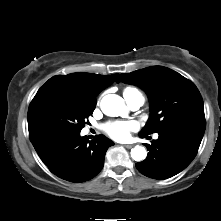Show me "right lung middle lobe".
Returning <instances> with one entry per match:
<instances>
[{
  "mask_svg": "<svg viewBox=\"0 0 221 221\" xmlns=\"http://www.w3.org/2000/svg\"><path fill=\"white\" fill-rule=\"evenodd\" d=\"M95 106L67 91H38L28 110L29 137L44 133L79 134Z\"/></svg>",
  "mask_w": 221,
  "mask_h": 221,
  "instance_id": "obj_1",
  "label": "right lung middle lobe"
}]
</instances>
